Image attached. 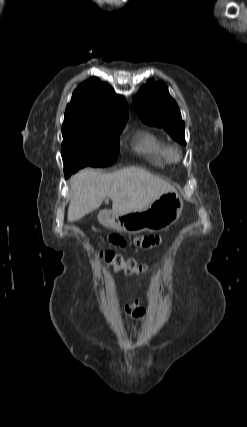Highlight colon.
<instances>
[{
  "label": "colon",
  "mask_w": 247,
  "mask_h": 427,
  "mask_svg": "<svg viewBox=\"0 0 247 427\" xmlns=\"http://www.w3.org/2000/svg\"><path fill=\"white\" fill-rule=\"evenodd\" d=\"M98 255L110 268L115 271H123L127 275H140L147 269L146 265L138 263L134 259L125 258L114 251H100Z\"/></svg>",
  "instance_id": "1"
}]
</instances>
